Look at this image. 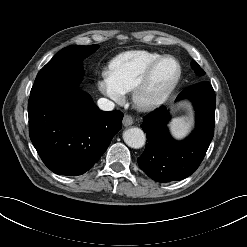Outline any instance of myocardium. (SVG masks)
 I'll return each instance as SVG.
<instances>
[{
    "instance_id": "obj_1",
    "label": "myocardium",
    "mask_w": 247,
    "mask_h": 247,
    "mask_svg": "<svg viewBox=\"0 0 247 247\" xmlns=\"http://www.w3.org/2000/svg\"><path fill=\"white\" fill-rule=\"evenodd\" d=\"M164 60H171L176 64L177 67L176 76L174 77L172 82L168 86H166L163 90H161L160 92L154 95H149L148 87L153 77V74L156 68L159 66V64ZM181 75H182V68L179 61L176 58L170 55L160 56L147 68L143 76L140 78V80L133 88V92H132L133 103L138 109L144 111L151 110L157 107L158 105L163 103L173 92V90L176 88V86L180 81Z\"/></svg>"
}]
</instances>
